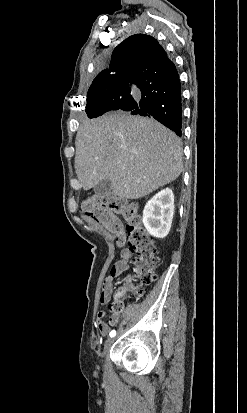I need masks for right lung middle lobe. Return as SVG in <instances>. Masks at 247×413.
<instances>
[{
  "mask_svg": "<svg viewBox=\"0 0 247 413\" xmlns=\"http://www.w3.org/2000/svg\"><path fill=\"white\" fill-rule=\"evenodd\" d=\"M129 88L125 81L108 82L102 80H93L88 93L86 113L92 112L103 101L111 96H122L129 92Z\"/></svg>",
  "mask_w": 247,
  "mask_h": 413,
  "instance_id": "right-lung-middle-lobe-1",
  "label": "right lung middle lobe"
}]
</instances>
